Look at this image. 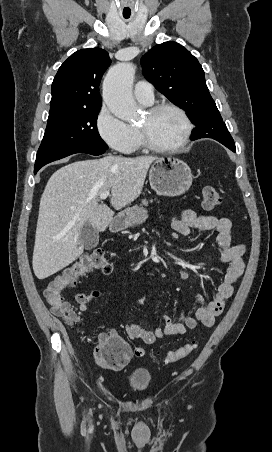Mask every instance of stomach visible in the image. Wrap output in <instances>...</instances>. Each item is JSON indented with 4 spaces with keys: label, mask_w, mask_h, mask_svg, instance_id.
Segmentation results:
<instances>
[{
    "label": "stomach",
    "mask_w": 272,
    "mask_h": 452,
    "mask_svg": "<svg viewBox=\"0 0 272 452\" xmlns=\"http://www.w3.org/2000/svg\"><path fill=\"white\" fill-rule=\"evenodd\" d=\"M193 175L190 167L174 157L157 158L149 171L151 188L161 196L176 197L184 194L191 186ZM148 218L145 209L138 206L128 208L121 216L122 228L141 224Z\"/></svg>",
    "instance_id": "0dacf381"
}]
</instances>
